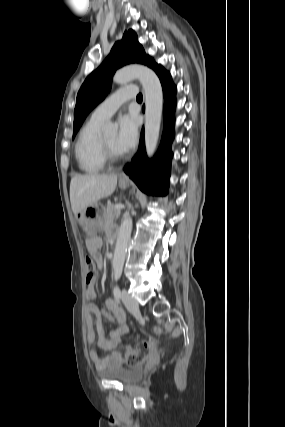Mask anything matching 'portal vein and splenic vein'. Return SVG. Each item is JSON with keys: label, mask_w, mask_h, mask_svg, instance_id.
<instances>
[{"label": "portal vein and splenic vein", "mask_w": 285, "mask_h": 427, "mask_svg": "<svg viewBox=\"0 0 285 427\" xmlns=\"http://www.w3.org/2000/svg\"><path fill=\"white\" fill-rule=\"evenodd\" d=\"M124 208V205L123 204H116L115 205V209H117V210H121V209H123Z\"/></svg>", "instance_id": "18ae733b"}]
</instances>
